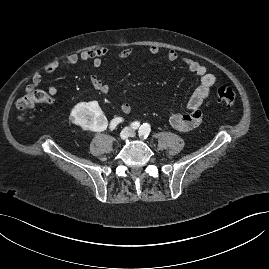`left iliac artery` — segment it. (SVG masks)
Masks as SVG:
<instances>
[{
    "label": "left iliac artery",
    "instance_id": "left-iliac-artery-1",
    "mask_svg": "<svg viewBox=\"0 0 269 269\" xmlns=\"http://www.w3.org/2000/svg\"><path fill=\"white\" fill-rule=\"evenodd\" d=\"M150 130V125L148 123H144L143 125H141L138 132L140 136L147 138L150 133Z\"/></svg>",
    "mask_w": 269,
    "mask_h": 269
}]
</instances>
